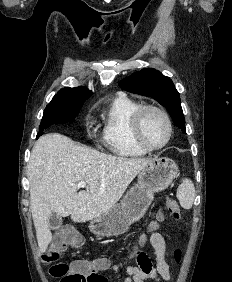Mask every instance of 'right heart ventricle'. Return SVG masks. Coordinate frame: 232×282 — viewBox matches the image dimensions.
I'll use <instances>...</instances> for the list:
<instances>
[{
    "label": "right heart ventricle",
    "mask_w": 232,
    "mask_h": 282,
    "mask_svg": "<svg viewBox=\"0 0 232 282\" xmlns=\"http://www.w3.org/2000/svg\"><path fill=\"white\" fill-rule=\"evenodd\" d=\"M139 106L124 94H119L108 104L102 141L111 153L120 157H140L148 152L135 143L131 133V117Z\"/></svg>",
    "instance_id": "e07e8e85"
}]
</instances>
